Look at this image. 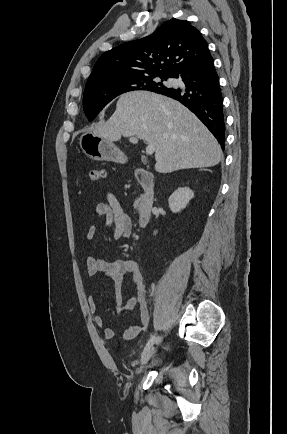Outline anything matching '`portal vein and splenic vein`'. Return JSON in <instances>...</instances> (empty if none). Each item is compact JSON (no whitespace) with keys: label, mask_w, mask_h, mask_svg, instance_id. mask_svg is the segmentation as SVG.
Returning <instances> with one entry per match:
<instances>
[{"label":"portal vein and splenic vein","mask_w":287,"mask_h":434,"mask_svg":"<svg viewBox=\"0 0 287 434\" xmlns=\"http://www.w3.org/2000/svg\"><path fill=\"white\" fill-rule=\"evenodd\" d=\"M134 134L131 132H124V136H133ZM155 152V145L148 144L146 147V154L152 155Z\"/></svg>","instance_id":"obj_1"}]
</instances>
